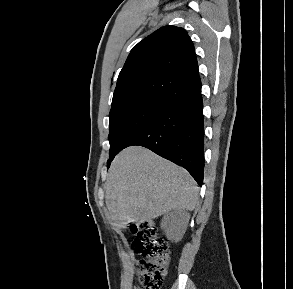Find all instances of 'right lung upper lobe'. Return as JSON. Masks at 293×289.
I'll return each instance as SVG.
<instances>
[{
	"label": "right lung upper lobe",
	"instance_id": "1",
	"mask_svg": "<svg viewBox=\"0 0 293 289\" xmlns=\"http://www.w3.org/2000/svg\"><path fill=\"white\" fill-rule=\"evenodd\" d=\"M201 92L194 45L180 27L164 26L131 50L114 91L120 100L154 95L178 104Z\"/></svg>",
	"mask_w": 293,
	"mask_h": 289
}]
</instances>
